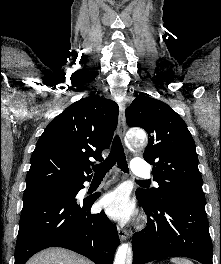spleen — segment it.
Instances as JSON below:
<instances>
[{
    "mask_svg": "<svg viewBox=\"0 0 221 264\" xmlns=\"http://www.w3.org/2000/svg\"><path fill=\"white\" fill-rule=\"evenodd\" d=\"M174 264H194L189 259L174 257L170 260Z\"/></svg>",
    "mask_w": 221,
    "mask_h": 264,
    "instance_id": "obj_1",
    "label": "spleen"
}]
</instances>
